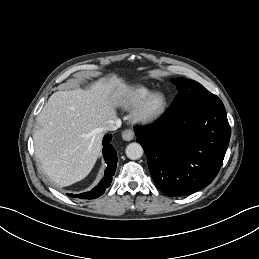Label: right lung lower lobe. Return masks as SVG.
<instances>
[{
	"label": "right lung lower lobe",
	"mask_w": 259,
	"mask_h": 259,
	"mask_svg": "<svg viewBox=\"0 0 259 259\" xmlns=\"http://www.w3.org/2000/svg\"><path fill=\"white\" fill-rule=\"evenodd\" d=\"M111 135H105L103 139V155L105 161L108 165L107 170L105 171V177L103 178L102 182L98 186H96L93 190L87 193H82L79 195L68 194L70 197H78L83 199H93L97 198L105 192V189L110 186L112 181V176L116 170V163H117V154L114 148L109 144L111 141Z\"/></svg>",
	"instance_id": "right-lung-lower-lobe-1"
}]
</instances>
